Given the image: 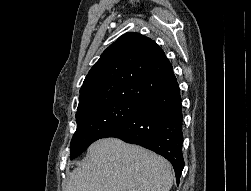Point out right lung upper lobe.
Listing matches in <instances>:
<instances>
[{"mask_svg": "<svg viewBox=\"0 0 251 191\" xmlns=\"http://www.w3.org/2000/svg\"><path fill=\"white\" fill-rule=\"evenodd\" d=\"M176 82L163 50L150 38L128 32L111 44L89 71L77 111L116 101L142 105Z\"/></svg>", "mask_w": 251, "mask_h": 191, "instance_id": "right-lung-upper-lobe-1", "label": "right lung upper lobe"}]
</instances>
